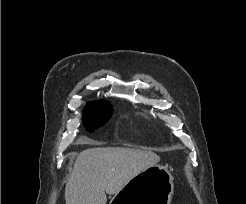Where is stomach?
Instances as JSON below:
<instances>
[{
  "label": "stomach",
  "instance_id": "obj_1",
  "mask_svg": "<svg viewBox=\"0 0 246 204\" xmlns=\"http://www.w3.org/2000/svg\"><path fill=\"white\" fill-rule=\"evenodd\" d=\"M173 177L163 166L154 165L134 176L111 199L110 204H170Z\"/></svg>",
  "mask_w": 246,
  "mask_h": 204
}]
</instances>
